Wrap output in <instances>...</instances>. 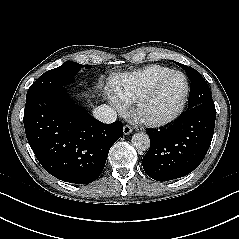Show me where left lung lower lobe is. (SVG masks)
<instances>
[{"label": "left lung lower lobe", "mask_w": 239, "mask_h": 239, "mask_svg": "<svg viewBox=\"0 0 239 239\" xmlns=\"http://www.w3.org/2000/svg\"><path fill=\"white\" fill-rule=\"evenodd\" d=\"M215 118L214 103L200 104L168 128L149 131L150 148L142 161L145 172L157 181H168L196 169L210 147Z\"/></svg>", "instance_id": "obj_1"}]
</instances>
